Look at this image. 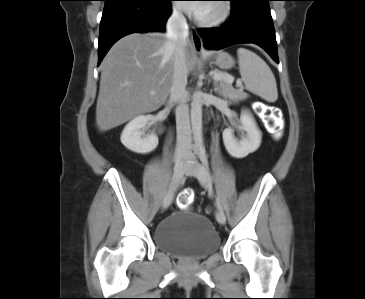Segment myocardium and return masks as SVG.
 Wrapping results in <instances>:
<instances>
[{"label": "myocardium", "instance_id": "myocardium-1", "mask_svg": "<svg viewBox=\"0 0 365 299\" xmlns=\"http://www.w3.org/2000/svg\"><path fill=\"white\" fill-rule=\"evenodd\" d=\"M218 5V12L216 15L210 18H202L196 16L195 20L197 24L205 27H216L227 22L233 12V6L228 0H216Z\"/></svg>", "mask_w": 365, "mask_h": 299}]
</instances>
